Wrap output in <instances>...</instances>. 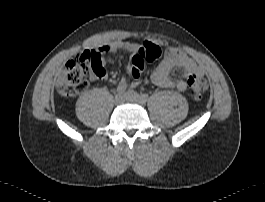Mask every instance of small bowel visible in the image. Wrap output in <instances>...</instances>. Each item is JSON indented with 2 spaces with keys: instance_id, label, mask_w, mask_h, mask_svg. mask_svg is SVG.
Here are the masks:
<instances>
[{
  "instance_id": "obj_1",
  "label": "small bowel",
  "mask_w": 265,
  "mask_h": 202,
  "mask_svg": "<svg viewBox=\"0 0 265 202\" xmlns=\"http://www.w3.org/2000/svg\"><path fill=\"white\" fill-rule=\"evenodd\" d=\"M150 44L149 42H145L144 44H138L135 42L129 41H120L115 44L106 45L100 48V56L99 61L104 68L107 58L114 54L117 50H124L130 53H135L139 51L142 47ZM175 68H181L183 71V75L181 78L176 80L170 79V74ZM127 74L132 73V64L129 63L126 67ZM198 76L203 77L204 71L197 65V63L190 58L187 54L177 49L171 48L169 50L168 57L162 61L152 72L151 81L152 83L161 88H170L175 87L179 91H186L188 87V82L190 78ZM106 77V72L104 68V72L99 74L95 71L91 74L92 80L104 79ZM119 84H126V80L122 79ZM138 85L137 81L132 83V87H136Z\"/></svg>"
}]
</instances>
